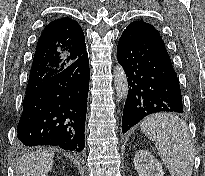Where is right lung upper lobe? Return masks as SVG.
<instances>
[{
  "label": "right lung upper lobe",
  "instance_id": "right-lung-upper-lobe-1",
  "mask_svg": "<svg viewBox=\"0 0 205 176\" xmlns=\"http://www.w3.org/2000/svg\"><path fill=\"white\" fill-rule=\"evenodd\" d=\"M85 53L84 33L75 20L65 17L50 22L38 39L26 92Z\"/></svg>",
  "mask_w": 205,
  "mask_h": 176
}]
</instances>
